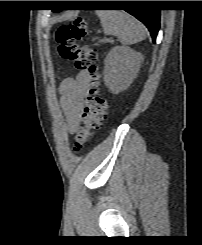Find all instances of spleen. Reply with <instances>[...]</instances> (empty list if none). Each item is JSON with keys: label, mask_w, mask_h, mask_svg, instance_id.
<instances>
[{"label": "spleen", "mask_w": 202, "mask_h": 245, "mask_svg": "<svg viewBox=\"0 0 202 245\" xmlns=\"http://www.w3.org/2000/svg\"><path fill=\"white\" fill-rule=\"evenodd\" d=\"M96 14L100 18L104 33L117 36L123 45L135 44L145 39V27L125 12L99 10Z\"/></svg>", "instance_id": "spleen-1"}]
</instances>
